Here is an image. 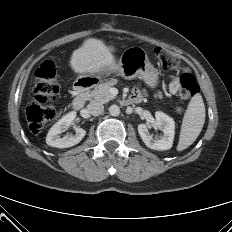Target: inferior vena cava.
<instances>
[{"mask_svg": "<svg viewBox=\"0 0 232 232\" xmlns=\"http://www.w3.org/2000/svg\"><path fill=\"white\" fill-rule=\"evenodd\" d=\"M87 111L93 116L101 115L104 112V106L102 103H91L87 106Z\"/></svg>", "mask_w": 232, "mask_h": 232, "instance_id": "obj_1", "label": "inferior vena cava"}]
</instances>
